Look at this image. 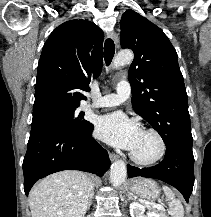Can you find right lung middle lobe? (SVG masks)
I'll return each instance as SVG.
<instances>
[{"instance_id":"right-lung-middle-lobe-1","label":"right lung middle lobe","mask_w":211,"mask_h":217,"mask_svg":"<svg viewBox=\"0 0 211 217\" xmlns=\"http://www.w3.org/2000/svg\"><path fill=\"white\" fill-rule=\"evenodd\" d=\"M83 113L79 115L76 109L55 111L34 118L31 130L55 128L74 136H83L89 130L91 123L83 119Z\"/></svg>"}]
</instances>
